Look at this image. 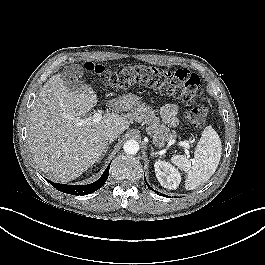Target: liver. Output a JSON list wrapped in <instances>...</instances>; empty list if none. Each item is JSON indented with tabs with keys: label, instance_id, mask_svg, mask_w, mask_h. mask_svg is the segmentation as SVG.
Masks as SVG:
<instances>
[{
	"label": "liver",
	"instance_id": "obj_1",
	"mask_svg": "<svg viewBox=\"0 0 265 265\" xmlns=\"http://www.w3.org/2000/svg\"><path fill=\"white\" fill-rule=\"evenodd\" d=\"M95 91L82 84L70 91L64 73L47 81L29 115L28 145L37 167L60 182H69L91 168L102 156L108 140L107 131L122 134L130 125L117 113H106L98 123L79 125L97 105ZM114 109L129 111V98L112 101Z\"/></svg>",
	"mask_w": 265,
	"mask_h": 265
}]
</instances>
